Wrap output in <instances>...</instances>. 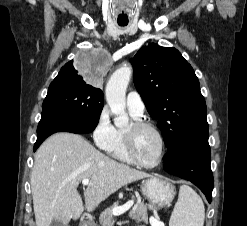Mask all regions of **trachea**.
<instances>
[{"label": "trachea", "instance_id": "trachea-1", "mask_svg": "<svg viewBox=\"0 0 247 226\" xmlns=\"http://www.w3.org/2000/svg\"><path fill=\"white\" fill-rule=\"evenodd\" d=\"M120 26H126L127 24H119Z\"/></svg>", "mask_w": 247, "mask_h": 226}]
</instances>
